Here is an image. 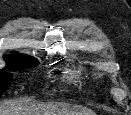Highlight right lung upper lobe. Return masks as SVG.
<instances>
[{
	"mask_svg": "<svg viewBox=\"0 0 131 115\" xmlns=\"http://www.w3.org/2000/svg\"><path fill=\"white\" fill-rule=\"evenodd\" d=\"M25 57H28V56L23 55V54H17V53L5 56V61L7 62V65L5 68H3V70L8 69L11 66V64H13V63L17 62L19 59H22Z\"/></svg>",
	"mask_w": 131,
	"mask_h": 115,
	"instance_id": "obj_1",
	"label": "right lung upper lobe"
}]
</instances>
